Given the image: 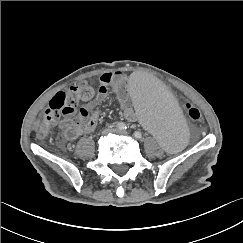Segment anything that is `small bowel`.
<instances>
[{
    "label": "small bowel",
    "mask_w": 243,
    "mask_h": 243,
    "mask_svg": "<svg viewBox=\"0 0 243 243\" xmlns=\"http://www.w3.org/2000/svg\"><path fill=\"white\" fill-rule=\"evenodd\" d=\"M126 80L127 77L123 73L102 74L95 98L82 106L77 114H64V119L59 124L62 139L72 141L82 134L90 133L95 128L100 115L97 106L107 97L109 87L115 90L124 116L134 121L135 117L125 89Z\"/></svg>",
    "instance_id": "1"
}]
</instances>
